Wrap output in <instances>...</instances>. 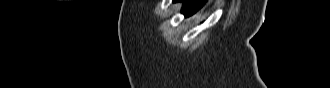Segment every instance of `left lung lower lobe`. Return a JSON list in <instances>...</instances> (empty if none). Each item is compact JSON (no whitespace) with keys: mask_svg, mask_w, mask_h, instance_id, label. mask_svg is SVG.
<instances>
[{"mask_svg":"<svg viewBox=\"0 0 330 88\" xmlns=\"http://www.w3.org/2000/svg\"><path fill=\"white\" fill-rule=\"evenodd\" d=\"M174 2H179V1H183L184 2V6L182 9V13L188 17L194 13H196V9H195V4L198 3L199 0H173ZM202 3L204 4L205 0H201ZM202 7V6H201ZM200 7V8H201Z\"/></svg>","mask_w":330,"mask_h":88,"instance_id":"left-lung-lower-lobe-1","label":"left lung lower lobe"}]
</instances>
